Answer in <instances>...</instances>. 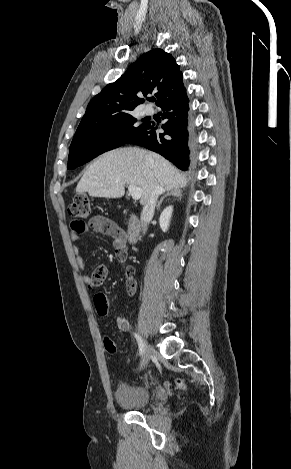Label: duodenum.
I'll use <instances>...</instances> for the list:
<instances>
[{
	"label": "duodenum",
	"mask_w": 291,
	"mask_h": 469,
	"mask_svg": "<svg viewBox=\"0 0 291 469\" xmlns=\"http://www.w3.org/2000/svg\"><path fill=\"white\" fill-rule=\"evenodd\" d=\"M140 230L141 224L138 217L135 214L131 213L128 220V230L126 234L127 242H129L130 244L135 243L140 233Z\"/></svg>",
	"instance_id": "410a0bca"
}]
</instances>
